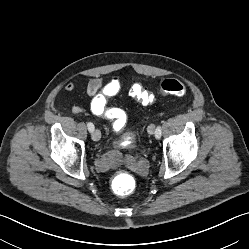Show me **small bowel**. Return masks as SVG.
Returning a JSON list of instances; mask_svg holds the SVG:
<instances>
[{
	"label": "small bowel",
	"instance_id": "1",
	"mask_svg": "<svg viewBox=\"0 0 249 249\" xmlns=\"http://www.w3.org/2000/svg\"><path fill=\"white\" fill-rule=\"evenodd\" d=\"M115 86L113 80L108 83H104L102 77L96 76L91 78L86 85V94L90 97V111L98 117L109 119L113 122V127L116 120H125V113L114 107L108 106L109 98L116 94H112L111 90ZM65 90L69 93L77 91V87L73 82H68L65 85ZM118 93V92H117ZM86 109L79 105H74L71 108V112L75 115L82 114ZM115 129V127H114ZM109 157L103 156L100 160L105 161ZM138 171L144 172L146 170V163L143 161H137Z\"/></svg>",
	"mask_w": 249,
	"mask_h": 249
}]
</instances>
